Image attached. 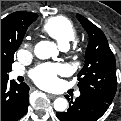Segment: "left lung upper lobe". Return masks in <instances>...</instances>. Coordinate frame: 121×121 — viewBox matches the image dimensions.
<instances>
[{
	"mask_svg": "<svg viewBox=\"0 0 121 121\" xmlns=\"http://www.w3.org/2000/svg\"><path fill=\"white\" fill-rule=\"evenodd\" d=\"M77 18L89 35L85 65L79 74L78 87L81 94L110 104L117 89L114 55L104 33L85 17L77 14Z\"/></svg>",
	"mask_w": 121,
	"mask_h": 121,
	"instance_id": "1",
	"label": "left lung upper lobe"
}]
</instances>
